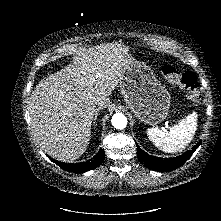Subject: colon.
Returning a JSON list of instances; mask_svg holds the SVG:
<instances>
[{"label":"colon","mask_w":221,"mask_h":221,"mask_svg":"<svg viewBox=\"0 0 221 221\" xmlns=\"http://www.w3.org/2000/svg\"><path fill=\"white\" fill-rule=\"evenodd\" d=\"M162 76L170 83L177 84L185 90L186 97L190 101H198L200 98L197 77L192 72H180L174 66L165 64L161 67Z\"/></svg>","instance_id":"colon-1"}]
</instances>
